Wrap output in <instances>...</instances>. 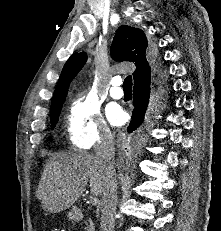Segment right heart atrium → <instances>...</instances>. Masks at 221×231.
I'll list each match as a JSON object with an SVG mask.
<instances>
[{
	"mask_svg": "<svg viewBox=\"0 0 221 231\" xmlns=\"http://www.w3.org/2000/svg\"><path fill=\"white\" fill-rule=\"evenodd\" d=\"M67 136L71 144L80 149H90L112 139L98 105L88 96H78L69 108Z\"/></svg>",
	"mask_w": 221,
	"mask_h": 231,
	"instance_id": "d8ad5b80",
	"label": "right heart atrium"
}]
</instances>
